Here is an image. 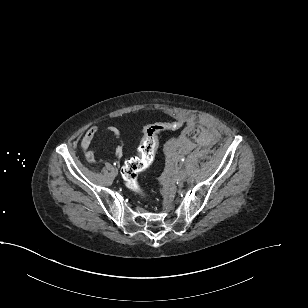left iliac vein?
<instances>
[{"mask_svg":"<svg viewBox=\"0 0 308 308\" xmlns=\"http://www.w3.org/2000/svg\"><path fill=\"white\" fill-rule=\"evenodd\" d=\"M176 179L178 182H184L186 180V173L185 171H179L177 174H176Z\"/></svg>","mask_w":308,"mask_h":308,"instance_id":"4c4485c4","label":"left iliac vein"}]
</instances>
